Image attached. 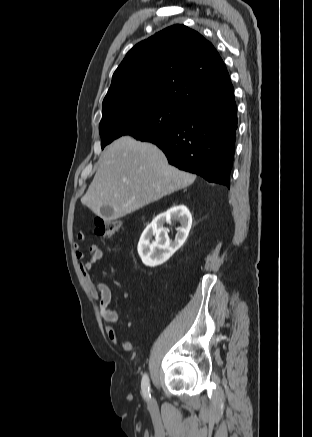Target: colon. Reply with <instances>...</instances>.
Returning <instances> with one entry per match:
<instances>
[{
    "mask_svg": "<svg viewBox=\"0 0 312 437\" xmlns=\"http://www.w3.org/2000/svg\"><path fill=\"white\" fill-rule=\"evenodd\" d=\"M120 227L119 221L107 220L101 217L95 219V234L98 237L110 238L119 232Z\"/></svg>",
    "mask_w": 312,
    "mask_h": 437,
    "instance_id": "5ec220e1",
    "label": "colon"
}]
</instances>
